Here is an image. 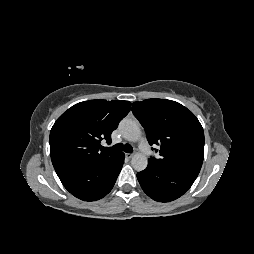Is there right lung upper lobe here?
I'll return each mask as SVG.
<instances>
[{
	"mask_svg": "<svg viewBox=\"0 0 254 254\" xmlns=\"http://www.w3.org/2000/svg\"><path fill=\"white\" fill-rule=\"evenodd\" d=\"M129 101L90 100L75 104L54 123L50 155L54 168L73 162H96L118 153L99 151L101 140L111 143V133L130 111Z\"/></svg>",
	"mask_w": 254,
	"mask_h": 254,
	"instance_id": "cb5924a9",
	"label": "right lung upper lobe"
}]
</instances>
